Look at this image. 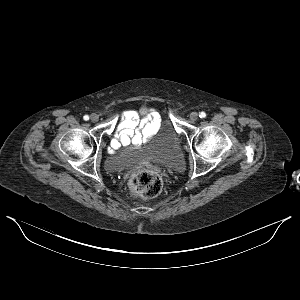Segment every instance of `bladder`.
I'll use <instances>...</instances> for the list:
<instances>
[{"mask_svg":"<svg viewBox=\"0 0 300 300\" xmlns=\"http://www.w3.org/2000/svg\"><path fill=\"white\" fill-rule=\"evenodd\" d=\"M135 150L129 152L131 155ZM136 152L152 159L159 160L163 165L180 170L178 164L183 162V150L177 133L169 126L163 127L151 135L146 142L136 149ZM126 165L124 155L112 156L106 161V168L110 172H119Z\"/></svg>","mask_w":300,"mask_h":300,"instance_id":"obj_1","label":"bladder"}]
</instances>
